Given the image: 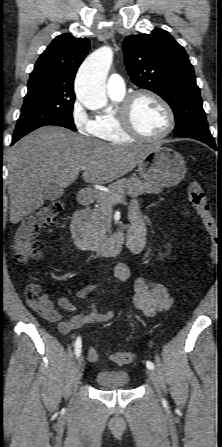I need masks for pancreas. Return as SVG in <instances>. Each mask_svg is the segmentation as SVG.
I'll return each instance as SVG.
<instances>
[{"mask_svg": "<svg viewBox=\"0 0 222 447\" xmlns=\"http://www.w3.org/2000/svg\"><path fill=\"white\" fill-rule=\"evenodd\" d=\"M109 192L98 191L96 194L98 208L87 212L86 226L88 233L95 242H100L106 238L107 223L105 212L115 203L113 199L117 197H137L143 194H159L162 190L149 182L138 177L120 179L108 186Z\"/></svg>", "mask_w": 222, "mask_h": 447, "instance_id": "obj_1", "label": "pancreas"}]
</instances>
